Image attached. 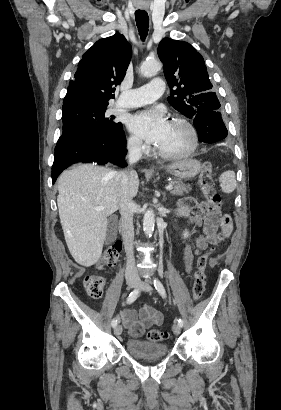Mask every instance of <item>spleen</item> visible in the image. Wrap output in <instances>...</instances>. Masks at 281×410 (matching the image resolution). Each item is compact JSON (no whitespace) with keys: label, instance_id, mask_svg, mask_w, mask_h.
<instances>
[{"label":"spleen","instance_id":"spleen-1","mask_svg":"<svg viewBox=\"0 0 281 410\" xmlns=\"http://www.w3.org/2000/svg\"><path fill=\"white\" fill-rule=\"evenodd\" d=\"M222 192L231 193L235 190L237 183L234 171H225L219 177Z\"/></svg>","mask_w":281,"mask_h":410}]
</instances>
